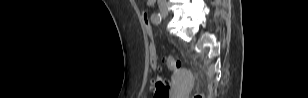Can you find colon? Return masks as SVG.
Here are the masks:
<instances>
[{
	"instance_id": "obj_1",
	"label": "colon",
	"mask_w": 308,
	"mask_h": 98,
	"mask_svg": "<svg viewBox=\"0 0 308 98\" xmlns=\"http://www.w3.org/2000/svg\"><path fill=\"white\" fill-rule=\"evenodd\" d=\"M140 15L143 16L144 30L147 32L148 36H152V31H154V24L150 22V16L147 15L146 9L140 10ZM149 57L150 64L153 69H157V53L153 40L149 41ZM166 65L170 70L176 71L181 68V61L175 57L168 56L166 58ZM152 90L154 93V98H168L169 97V83L164 79H157L153 82ZM194 98H203L201 94H196Z\"/></svg>"
}]
</instances>
